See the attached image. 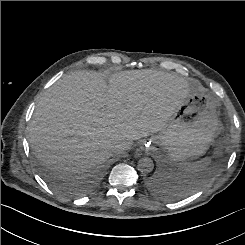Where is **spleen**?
<instances>
[{
  "label": "spleen",
  "mask_w": 245,
  "mask_h": 245,
  "mask_svg": "<svg viewBox=\"0 0 245 245\" xmlns=\"http://www.w3.org/2000/svg\"><path fill=\"white\" fill-rule=\"evenodd\" d=\"M210 163V158H204L196 162L181 163L180 168L184 173L192 175L206 169L210 165Z\"/></svg>",
  "instance_id": "3e777b00"
}]
</instances>
